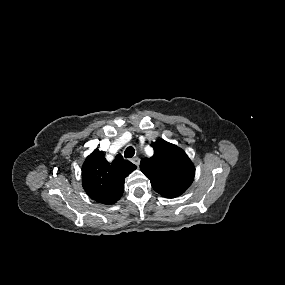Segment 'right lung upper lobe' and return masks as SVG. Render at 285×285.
<instances>
[{
	"label": "right lung upper lobe",
	"instance_id": "right-lung-upper-lobe-1",
	"mask_svg": "<svg viewBox=\"0 0 285 285\" xmlns=\"http://www.w3.org/2000/svg\"><path fill=\"white\" fill-rule=\"evenodd\" d=\"M136 168L119 154L110 163L102 151L95 149L82 165V186L96 202L111 205L121 198L124 179Z\"/></svg>",
	"mask_w": 285,
	"mask_h": 285
}]
</instances>
